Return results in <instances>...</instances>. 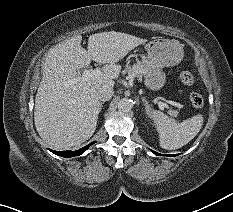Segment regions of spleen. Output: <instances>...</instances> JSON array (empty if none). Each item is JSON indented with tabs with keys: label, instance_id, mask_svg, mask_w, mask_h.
Masks as SVG:
<instances>
[{
	"label": "spleen",
	"instance_id": "obj_1",
	"mask_svg": "<svg viewBox=\"0 0 233 212\" xmlns=\"http://www.w3.org/2000/svg\"><path fill=\"white\" fill-rule=\"evenodd\" d=\"M151 118L159 134V144L166 150H175L189 143L199 133L203 125L201 114L177 123L166 114L152 110Z\"/></svg>",
	"mask_w": 233,
	"mask_h": 212
}]
</instances>
